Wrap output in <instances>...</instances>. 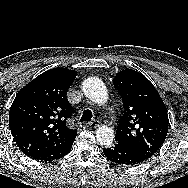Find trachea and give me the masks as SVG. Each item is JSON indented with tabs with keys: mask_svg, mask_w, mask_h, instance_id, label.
Here are the masks:
<instances>
[{
	"mask_svg": "<svg viewBox=\"0 0 188 188\" xmlns=\"http://www.w3.org/2000/svg\"><path fill=\"white\" fill-rule=\"evenodd\" d=\"M91 118H92V111L87 109L83 112L80 122L91 121Z\"/></svg>",
	"mask_w": 188,
	"mask_h": 188,
	"instance_id": "obj_1",
	"label": "trachea"
}]
</instances>
